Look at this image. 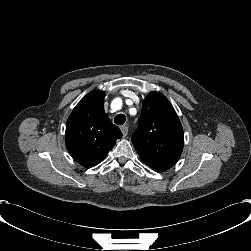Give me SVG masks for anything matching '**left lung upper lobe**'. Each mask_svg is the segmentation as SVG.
<instances>
[{
  "label": "left lung upper lobe",
  "instance_id": "left-lung-upper-lobe-1",
  "mask_svg": "<svg viewBox=\"0 0 251 251\" xmlns=\"http://www.w3.org/2000/svg\"><path fill=\"white\" fill-rule=\"evenodd\" d=\"M132 143L141 160L155 171H165L179 160L184 144L183 128L161 93L151 92L144 99Z\"/></svg>",
  "mask_w": 251,
  "mask_h": 251
}]
</instances>
